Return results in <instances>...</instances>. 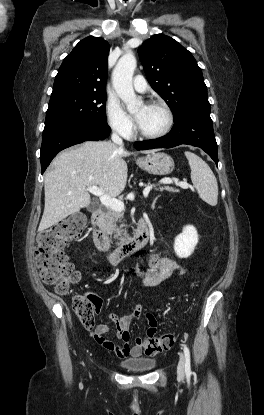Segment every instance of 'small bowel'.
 <instances>
[{
	"mask_svg": "<svg viewBox=\"0 0 264 415\" xmlns=\"http://www.w3.org/2000/svg\"><path fill=\"white\" fill-rule=\"evenodd\" d=\"M138 275L141 282L146 287H154L162 284L164 281L177 273L176 261L170 257L158 256L154 253H148L144 257V264L137 267ZM98 308H101V302L98 300ZM126 308V307H125ZM144 313V304L136 303L132 308V313L121 319H115L114 315L109 314V319H115V330L119 338L123 341V346L116 345L104 337L110 331L107 324H98L94 330V337L97 344L107 350L126 358H139L145 344L141 339H136L132 345L129 341V328L131 321ZM148 322V334H155L157 331V321L154 316L146 315Z\"/></svg>",
	"mask_w": 264,
	"mask_h": 415,
	"instance_id": "obj_1",
	"label": "small bowel"
}]
</instances>
